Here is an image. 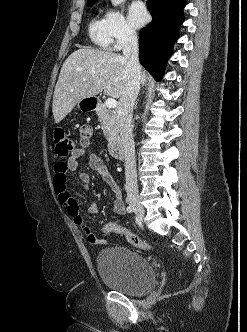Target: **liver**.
<instances>
[{
	"instance_id": "6515ba94",
	"label": "liver",
	"mask_w": 247,
	"mask_h": 332,
	"mask_svg": "<svg viewBox=\"0 0 247 332\" xmlns=\"http://www.w3.org/2000/svg\"><path fill=\"white\" fill-rule=\"evenodd\" d=\"M148 79L141 71V83ZM127 61L118 53L80 48L63 63L53 95L55 123L61 122L84 98L103 93L120 98L127 83Z\"/></svg>"
}]
</instances>
